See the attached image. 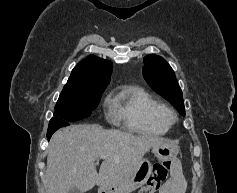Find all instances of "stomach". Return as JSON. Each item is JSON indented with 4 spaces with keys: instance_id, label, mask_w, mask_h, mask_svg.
<instances>
[{
    "instance_id": "stomach-1",
    "label": "stomach",
    "mask_w": 237,
    "mask_h": 193,
    "mask_svg": "<svg viewBox=\"0 0 237 193\" xmlns=\"http://www.w3.org/2000/svg\"><path fill=\"white\" fill-rule=\"evenodd\" d=\"M178 147L169 141L152 147V153L159 161L173 159L178 154ZM152 173V164L143 159L138 166L124 179L111 185L101 186L98 193H131L146 184Z\"/></svg>"
}]
</instances>
